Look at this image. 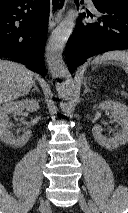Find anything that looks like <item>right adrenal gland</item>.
<instances>
[{
  "label": "right adrenal gland",
  "mask_w": 128,
  "mask_h": 213,
  "mask_svg": "<svg viewBox=\"0 0 128 213\" xmlns=\"http://www.w3.org/2000/svg\"><path fill=\"white\" fill-rule=\"evenodd\" d=\"M33 89H32V91L31 92H34V91H37V92H40V90H39V88H38V86L36 85V83L34 82V84H33Z\"/></svg>",
  "instance_id": "obj_1"
}]
</instances>
